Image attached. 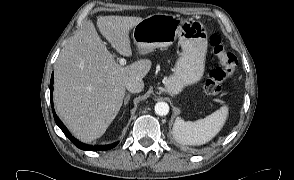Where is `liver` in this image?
I'll list each match as a JSON object with an SVG mask.
<instances>
[{
	"mask_svg": "<svg viewBox=\"0 0 294 180\" xmlns=\"http://www.w3.org/2000/svg\"><path fill=\"white\" fill-rule=\"evenodd\" d=\"M141 17L101 16L97 27L111 46L131 56L129 31ZM54 105L60 119L80 141L101 137L117 116L131 79H143L151 61L118 64L88 21L69 38L54 65Z\"/></svg>",
	"mask_w": 294,
	"mask_h": 180,
	"instance_id": "liver-1",
	"label": "liver"
}]
</instances>
